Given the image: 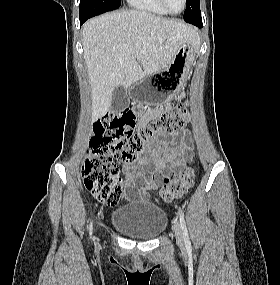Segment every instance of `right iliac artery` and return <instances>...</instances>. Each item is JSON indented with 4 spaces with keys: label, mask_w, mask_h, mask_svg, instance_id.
<instances>
[{
    "label": "right iliac artery",
    "mask_w": 280,
    "mask_h": 285,
    "mask_svg": "<svg viewBox=\"0 0 280 285\" xmlns=\"http://www.w3.org/2000/svg\"><path fill=\"white\" fill-rule=\"evenodd\" d=\"M89 231H90V233H91V231H92V222L90 223Z\"/></svg>",
    "instance_id": "1"
}]
</instances>
